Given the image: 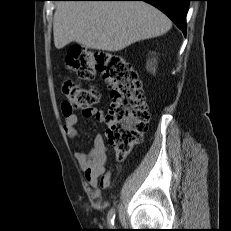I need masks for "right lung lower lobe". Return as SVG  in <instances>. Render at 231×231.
<instances>
[{
	"label": "right lung lower lobe",
	"instance_id": "98d812e1",
	"mask_svg": "<svg viewBox=\"0 0 231 231\" xmlns=\"http://www.w3.org/2000/svg\"><path fill=\"white\" fill-rule=\"evenodd\" d=\"M87 1H145L165 13L185 34L186 15L191 0H87Z\"/></svg>",
	"mask_w": 231,
	"mask_h": 231
}]
</instances>
